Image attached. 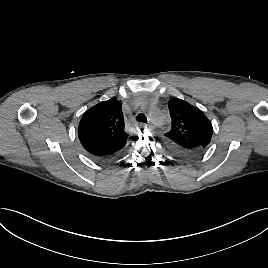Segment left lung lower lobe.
Listing matches in <instances>:
<instances>
[{
  "mask_svg": "<svg viewBox=\"0 0 268 268\" xmlns=\"http://www.w3.org/2000/svg\"><path fill=\"white\" fill-rule=\"evenodd\" d=\"M170 150L178 157L185 159H193L200 156L205 150L200 148L184 149L175 146L173 143L168 142Z\"/></svg>",
  "mask_w": 268,
  "mask_h": 268,
  "instance_id": "left-lung-lower-lobe-1",
  "label": "left lung lower lobe"
}]
</instances>
